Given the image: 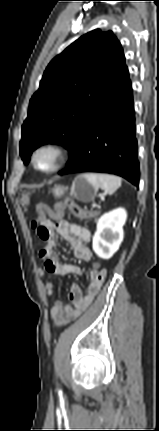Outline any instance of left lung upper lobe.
Masks as SVG:
<instances>
[{
    "mask_svg": "<svg viewBox=\"0 0 159 431\" xmlns=\"http://www.w3.org/2000/svg\"><path fill=\"white\" fill-rule=\"evenodd\" d=\"M128 75L122 46L111 32L84 34L47 66L22 125L20 155L25 164L45 143L70 152L85 124Z\"/></svg>",
    "mask_w": 159,
    "mask_h": 431,
    "instance_id": "5c2ea615",
    "label": "left lung upper lobe"
}]
</instances>
